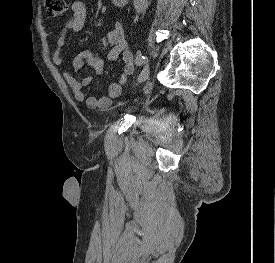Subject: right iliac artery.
<instances>
[{"instance_id": "1", "label": "right iliac artery", "mask_w": 275, "mask_h": 263, "mask_svg": "<svg viewBox=\"0 0 275 263\" xmlns=\"http://www.w3.org/2000/svg\"><path fill=\"white\" fill-rule=\"evenodd\" d=\"M135 63L136 65L141 66L143 63H145V57L141 53H138L135 59Z\"/></svg>"}]
</instances>
